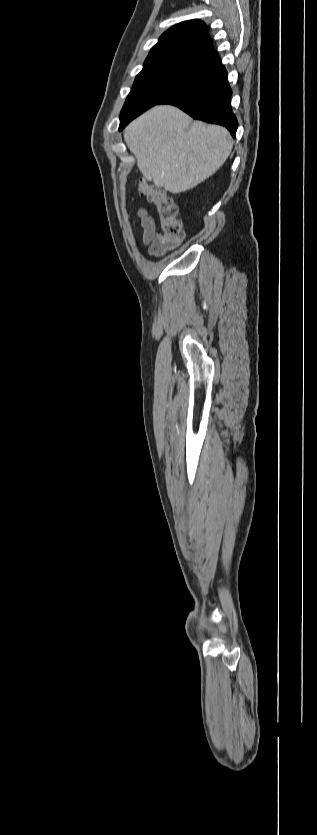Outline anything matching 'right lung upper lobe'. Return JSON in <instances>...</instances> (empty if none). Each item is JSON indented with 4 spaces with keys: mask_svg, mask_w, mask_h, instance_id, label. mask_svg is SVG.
I'll use <instances>...</instances> for the list:
<instances>
[{
    "mask_svg": "<svg viewBox=\"0 0 317 835\" xmlns=\"http://www.w3.org/2000/svg\"><path fill=\"white\" fill-rule=\"evenodd\" d=\"M213 52L204 22L188 20L167 30L151 49L143 70Z\"/></svg>",
    "mask_w": 317,
    "mask_h": 835,
    "instance_id": "cb5924a9",
    "label": "right lung upper lobe"
}]
</instances>
